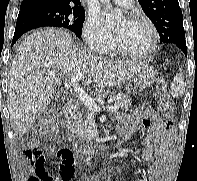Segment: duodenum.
Instances as JSON below:
<instances>
[{
	"instance_id": "410a0bca",
	"label": "duodenum",
	"mask_w": 197,
	"mask_h": 181,
	"mask_svg": "<svg viewBox=\"0 0 197 181\" xmlns=\"http://www.w3.org/2000/svg\"><path fill=\"white\" fill-rule=\"evenodd\" d=\"M75 113V106H70L68 109H67V116L68 117H73ZM98 152V150H96Z\"/></svg>"
}]
</instances>
